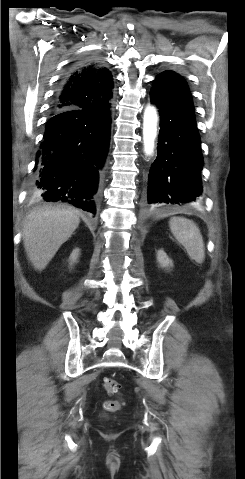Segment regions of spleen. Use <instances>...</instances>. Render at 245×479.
<instances>
[{
  "mask_svg": "<svg viewBox=\"0 0 245 479\" xmlns=\"http://www.w3.org/2000/svg\"><path fill=\"white\" fill-rule=\"evenodd\" d=\"M169 226L174 237L184 246L191 260L202 264L205 259L203 237L198 226L184 217H172Z\"/></svg>",
  "mask_w": 245,
  "mask_h": 479,
  "instance_id": "spleen-1",
  "label": "spleen"
}]
</instances>
